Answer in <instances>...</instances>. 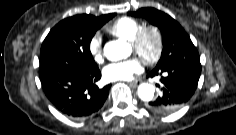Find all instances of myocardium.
<instances>
[{
	"label": "myocardium",
	"instance_id": "obj_1",
	"mask_svg": "<svg viewBox=\"0 0 236 135\" xmlns=\"http://www.w3.org/2000/svg\"><path fill=\"white\" fill-rule=\"evenodd\" d=\"M152 36L155 40V49L152 53L145 52V43L148 37ZM132 48L146 63L154 64L162 56L164 49V39L161 30L154 25L142 26L131 41Z\"/></svg>",
	"mask_w": 236,
	"mask_h": 135
}]
</instances>
